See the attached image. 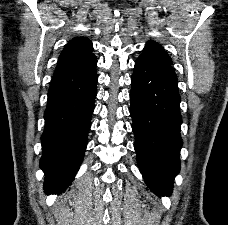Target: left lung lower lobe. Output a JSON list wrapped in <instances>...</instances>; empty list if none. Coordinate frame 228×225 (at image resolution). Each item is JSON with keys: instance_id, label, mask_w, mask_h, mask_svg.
Segmentation results:
<instances>
[{"instance_id": "0a47b994", "label": "left lung lower lobe", "mask_w": 228, "mask_h": 225, "mask_svg": "<svg viewBox=\"0 0 228 225\" xmlns=\"http://www.w3.org/2000/svg\"><path fill=\"white\" fill-rule=\"evenodd\" d=\"M137 163L146 184L169 196L180 171V95L171 64L139 56L130 92Z\"/></svg>"}]
</instances>
